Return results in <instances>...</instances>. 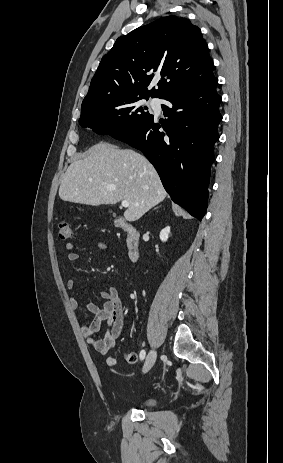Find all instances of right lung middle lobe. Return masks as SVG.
Returning <instances> with one entry per match:
<instances>
[{"label":"right lung middle lobe","mask_w":283,"mask_h":463,"mask_svg":"<svg viewBox=\"0 0 283 463\" xmlns=\"http://www.w3.org/2000/svg\"><path fill=\"white\" fill-rule=\"evenodd\" d=\"M145 96H108L81 106L79 123L101 135L117 136L137 129L153 115L140 105Z\"/></svg>","instance_id":"right-lung-middle-lobe-1"}]
</instances>
